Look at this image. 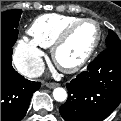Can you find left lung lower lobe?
<instances>
[{
    "label": "left lung lower lobe",
    "mask_w": 121,
    "mask_h": 121,
    "mask_svg": "<svg viewBox=\"0 0 121 121\" xmlns=\"http://www.w3.org/2000/svg\"><path fill=\"white\" fill-rule=\"evenodd\" d=\"M66 87L59 108L66 121L105 119L121 102V48H106Z\"/></svg>",
    "instance_id": "left-lung-lower-lobe-1"
}]
</instances>
